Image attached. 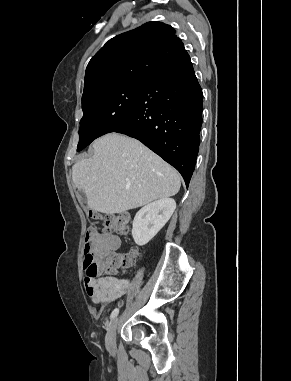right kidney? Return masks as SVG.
Here are the masks:
<instances>
[{
  "label": "right kidney",
  "mask_w": 291,
  "mask_h": 381,
  "mask_svg": "<svg viewBox=\"0 0 291 381\" xmlns=\"http://www.w3.org/2000/svg\"><path fill=\"white\" fill-rule=\"evenodd\" d=\"M176 209L172 198H162L141 208L134 217L132 237L139 246L147 244L167 223Z\"/></svg>",
  "instance_id": "obj_1"
}]
</instances>
